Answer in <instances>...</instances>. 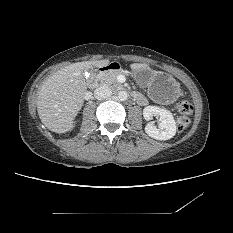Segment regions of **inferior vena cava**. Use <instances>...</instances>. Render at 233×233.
Here are the masks:
<instances>
[{
  "instance_id": "obj_1",
  "label": "inferior vena cava",
  "mask_w": 233,
  "mask_h": 233,
  "mask_svg": "<svg viewBox=\"0 0 233 233\" xmlns=\"http://www.w3.org/2000/svg\"><path fill=\"white\" fill-rule=\"evenodd\" d=\"M112 91L108 86H101L95 89L94 96L98 100H103L111 97Z\"/></svg>"
}]
</instances>
